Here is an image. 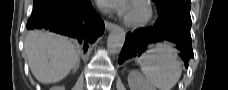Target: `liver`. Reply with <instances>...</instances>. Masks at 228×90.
I'll return each mask as SVG.
<instances>
[{"instance_id": "liver-1", "label": "liver", "mask_w": 228, "mask_h": 90, "mask_svg": "<svg viewBox=\"0 0 228 90\" xmlns=\"http://www.w3.org/2000/svg\"><path fill=\"white\" fill-rule=\"evenodd\" d=\"M24 50L32 74L44 84L61 81L79 60L70 40L50 32L30 31Z\"/></svg>"}]
</instances>
